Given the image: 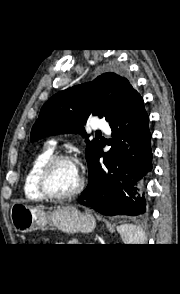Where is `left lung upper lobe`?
Returning <instances> with one entry per match:
<instances>
[{"instance_id":"obj_1","label":"left lung upper lobe","mask_w":180,"mask_h":294,"mask_svg":"<svg viewBox=\"0 0 180 294\" xmlns=\"http://www.w3.org/2000/svg\"><path fill=\"white\" fill-rule=\"evenodd\" d=\"M137 93L125 77L114 72L60 91L43 105L31 131V142L47 135L68 132L88 137L83 124L90 115L104 117L110 123ZM86 143L89 164L101 145L95 139H86Z\"/></svg>"}]
</instances>
